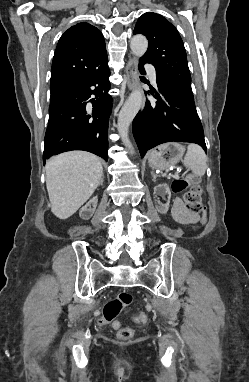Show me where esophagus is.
<instances>
[{"label": "esophagus", "mask_w": 249, "mask_h": 382, "mask_svg": "<svg viewBox=\"0 0 249 382\" xmlns=\"http://www.w3.org/2000/svg\"><path fill=\"white\" fill-rule=\"evenodd\" d=\"M138 60L133 57L128 61L126 67V75H127V86L130 90H133L138 85Z\"/></svg>", "instance_id": "esophagus-1"}]
</instances>
